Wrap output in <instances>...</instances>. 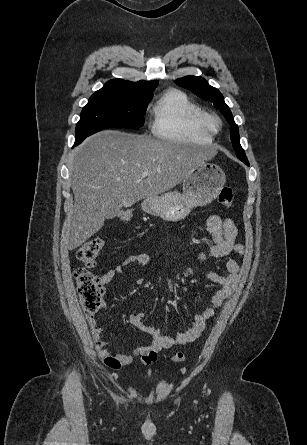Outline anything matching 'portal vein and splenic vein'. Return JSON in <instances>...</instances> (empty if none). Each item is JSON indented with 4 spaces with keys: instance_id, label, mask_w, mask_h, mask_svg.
I'll return each instance as SVG.
<instances>
[{
    "instance_id": "1",
    "label": "portal vein and splenic vein",
    "mask_w": 307,
    "mask_h": 445,
    "mask_svg": "<svg viewBox=\"0 0 307 445\" xmlns=\"http://www.w3.org/2000/svg\"><path fill=\"white\" fill-rule=\"evenodd\" d=\"M158 172H160V170H158ZM148 174H151V172H148V170H143L141 176L144 178V176H148Z\"/></svg>"
}]
</instances>
